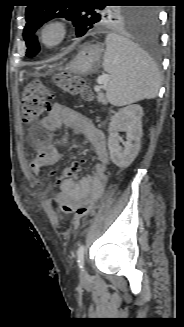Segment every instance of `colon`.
<instances>
[{
	"instance_id": "obj_1",
	"label": "colon",
	"mask_w": 184,
	"mask_h": 327,
	"mask_svg": "<svg viewBox=\"0 0 184 327\" xmlns=\"http://www.w3.org/2000/svg\"><path fill=\"white\" fill-rule=\"evenodd\" d=\"M56 85L64 92L70 95L80 96L89 100L92 96L89 87L85 81L76 75L69 73H60L55 77ZM50 101V94L45 85L40 82L28 84L21 96V115L25 123H30L38 119L47 109ZM59 210L72 214L76 218L88 215L94 206V203L84 201L72 203L67 200H54Z\"/></svg>"
}]
</instances>
